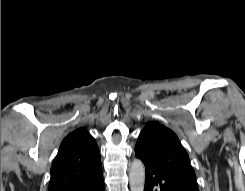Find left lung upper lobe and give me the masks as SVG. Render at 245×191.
Returning a JSON list of instances; mask_svg holds the SVG:
<instances>
[{"label":"left lung upper lobe","mask_w":245,"mask_h":191,"mask_svg":"<svg viewBox=\"0 0 245 191\" xmlns=\"http://www.w3.org/2000/svg\"><path fill=\"white\" fill-rule=\"evenodd\" d=\"M135 153L143 161L197 184L188 153L169 128L155 122L148 123L138 137Z\"/></svg>","instance_id":"1"}]
</instances>
